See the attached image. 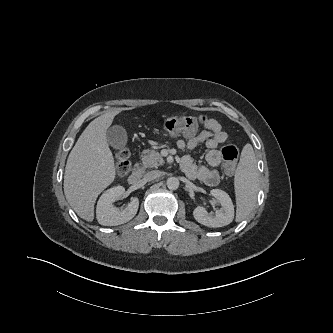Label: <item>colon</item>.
<instances>
[{
    "mask_svg": "<svg viewBox=\"0 0 333 333\" xmlns=\"http://www.w3.org/2000/svg\"><path fill=\"white\" fill-rule=\"evenodd\" d=\"M205 116H181L171 117L164 121V129L171 135H193L203 124H205ZM224 160V169L227 173L234 172L238 160V148L233 144H228L221 151ZM116 169L119 176H126L131 170L129 153L126 149H122L116 156Z\"/></svg>",
    "mask_w": 333,
    "mask_h": 333,
    "instance_id": "5ec220e1",
    "label": "colon"
}]
</instances>
